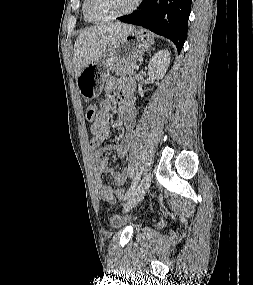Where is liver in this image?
Masks as SVG:
<instances>
[{"label": "liver", "mask_w": 253, "mask_h": 285, "mask_svg": "<svg viewBox=\"0 0 253 285\" xmlns=\"http://www.w3.org/2000/svg\"><path fill=\"white\" fill-rule=\"evenodd\" d=\"M134 26L124 23H109L88 28L80 33L74 44L76 78L90 63L96 61Z\"/></svg>", "instance_id": "1"}]
</instances>
